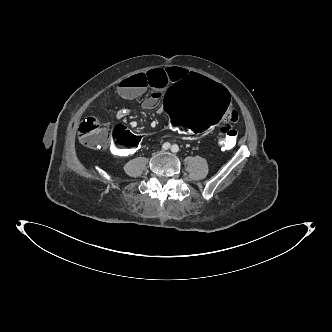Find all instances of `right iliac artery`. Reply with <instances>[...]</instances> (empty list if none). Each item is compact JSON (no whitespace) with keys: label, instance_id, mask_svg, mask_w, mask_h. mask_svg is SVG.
Returning <instances> with one entry per match:
<instances>
[{"label":"right iliac artery","instance_id":"right-iliac-artery-1","mask_svg":"<svg viewBox=\"0 0 332 332\" xmlns=\"http://www.w3.org/2000/svg\"><path fill=\"white\" fill-rule=\"evenodd\" d=\"M170 147H171V145H170V143H168V142H166V143H164V144L162 145V148H163L164 150H168Z\"/></svg>","mask_w":332,"mask_h":332}]
</instances>
